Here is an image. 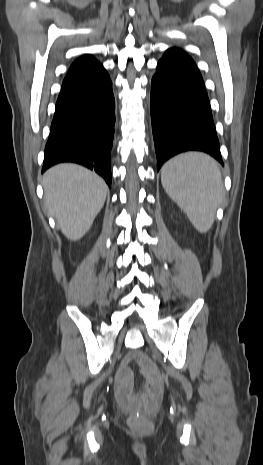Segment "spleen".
I'll use <instances>...</instances> for the list:
<instances>
[{
    "label": "spleen",
    "mask_w": 263,
    "mask_h": 465,
    "mask_svg": "<svg viewBox=\"0 0 263 465\" xmlns=\"http://www.w3.org/2000/svg\"><path fill=\"white\" fill-rule=\"evenodd\" d=\"M161 182L168 194L187 214L194 227L207 232L223 193L217 162L203 153H184L165 163Z\"/></svg>",
    "instance_id": "3e777b00"
}]
</instances>
